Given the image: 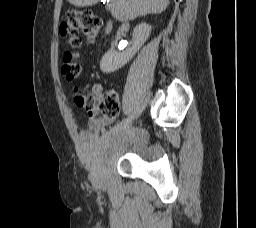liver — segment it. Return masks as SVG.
I'll use <instances>...</instances> for the list:
<instances>
[{"mask_svg":"<svg viewBox=\"0 0 256 228\" xmlns=\"http://www.w3.org/2000/svg\"><path fill=\"white\" fill-rule=\"evenodd\" d=\"M77 7L96 4L99 0H67ZM169 0H111L106 6L112 16L118 21L134 20L147 14H159L166 10Z\"/></svg>","mask_w":256,"mask_h":228,"instance_id":"liver-1","label":"liver"}]
</instances>
